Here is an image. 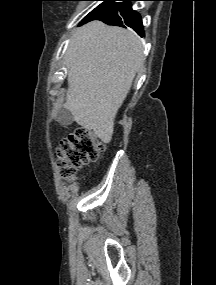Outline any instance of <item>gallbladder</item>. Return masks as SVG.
I'll return each instance as SVG.
<instances>
[{
  "label": "gallbladder",
  "instance_id": "obj_1",
  "mask_svg": "<svg viewBox=\"0 0 216 285\" xmlns=\"http://www.w3.org/2000/svg\"><path fill=\"white\" fill-rule=\"evenodd\" d=\"M56 119L60 124L65 126L72 124L74 121L71 112L65 107L58 109Z\"/></svg>",
  "mask_w": 216,
  "mask_h": 285
}]
</instances>
